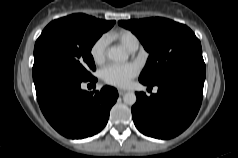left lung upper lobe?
<instances>
[{"label": "left lung upper lobe", "instance_id": "obj_1", "mask_svg": "<svg viewBox=\"0 0 238 158\" xmlns=\"http://www.w3.org/2000/svg\"><path fill=\"white\" fill-rule=\"evenodd\" d=\"M118 23L131 30L150 53L139 77L142 84L155 85L163 77L188 67H205L201 43L186 25L159 17Z\"/></svg>", "mask_w": 238, "mask_h": 158}]
</instances>
